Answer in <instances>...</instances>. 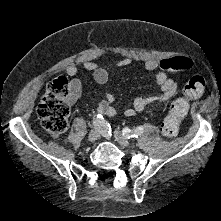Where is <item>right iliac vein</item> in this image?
I'll return each instance as SVG.
<instances>
[{
	"label": "right iliac vein",
	"mask_w": 221,
	"mask_h": 221,
	"mask_svg": "<svg viewBox=\"0 0 221 221\" xmlns=\"http://www.w3.org/2000/svg\"><path fill=\"white\" fill-rule=\"evenodd\" d=\"M99 138V133L97 130H92L88 135V140L91 142L96 141Z\"/></svg>",
	"instance_id": "1"
}]
</instances>
